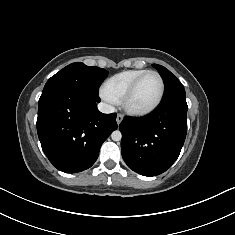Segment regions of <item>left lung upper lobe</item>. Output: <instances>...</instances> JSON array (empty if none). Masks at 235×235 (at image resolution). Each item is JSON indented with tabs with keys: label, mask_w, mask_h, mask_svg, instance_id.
I'll use <instances>...</instances> for the list:
<instances>
[{
	"label": "left lung upper lobe",
	"mask_w": 235,
	"mask_h": 235,
	"mask_svg": "<svg viewBox=\"0 0 235 235\" xmlns=\"http://www.w3.org/2000/svg\"><path fill=\"white\" fill-rule=\"evenodd\" d=\"M153 66L158 70L165 84V94L162 101L186 97L182 84L174 74L161 65L153 64Z\"/></svg>",
	"instance_id": "left-lung-upper-lobe-1"
}]
</instances>
